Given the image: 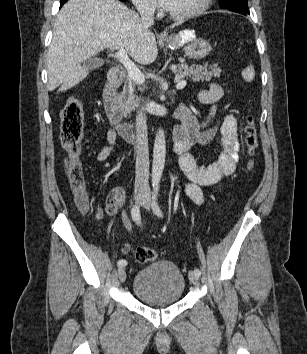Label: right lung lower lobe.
I'll return each instance as SVG.
<instances>
[{
  "mask_svg": "<svg viewBox=\"0 0 307 354\" xmlns=\"http://www.w3.org/2000/svg\"><path fill=\"white\" fill-rule=\"evenodd\" d=\"M68 0H61V2H60V7L61 6H63V4L65 3V2H67Z\"/></svg>",
  "mask_w": 307,
  "mask_h": 354,
  "instance_id": "1",
  "label": "right lung lower lobe"
}]
</instances>
